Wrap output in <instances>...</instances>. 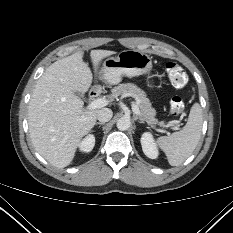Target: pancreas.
Wrapping results in <instances>:
<instances>
[{
  "label": "pancreas",
  "instance_id": "obj_1",
  "mask_svg": "<svg viewBox=\"0 0 233 233\" xmlns=\"http://www.w3.org/2000/svg\"><path fill=\"white\" fill-rule=\"evenodd\" d=\"M112 98H117L118 96H131L137 101L138 107L140 108L141 117L150 125H155L158 123L155 119L156 110L152 107L147 95L142 91L137 85L133 83H123L114 87L111 90Z\"/></svg>",
  "mask_w": 233,
  "mask_h": 233
}]
</instances>
